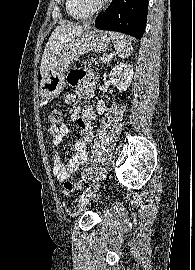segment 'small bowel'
Returning <instances> with one entry per match:
<instances>
[{
  "label": "small bowel",
  "instance_id": "c3829d8e",
  "mask_svg": "<svg viewBox=\"0 0 195 270\" xmlns=\"http://www.w3.org/2000/svg\"><path fill=\"white\" fill-rule=\"evenodd\" d=\"M68 83L71 86L80 85L81 93L86 98L93 96V89L96 84V75L92 72L76 69L72 70L67 77ZM76 96L74 94H67L64 102L67 106L74 104ZM71 117L76 120L77 126L80 130V138L75 144V152L67 161H62L59 154L53 157V175L59 181H65L75 173L78 168L87 162L86 147L93 140L92 125L95 120V113L90 105H85L82 108L74 109L71 112ZM48 133L52 137V142L56 146L69 133V128L66 124L59 126H49ZM67 193V191H66Z\"/></svg>",
  "mask_w": 195,
  "mask_h": 270
}]
</instances>
